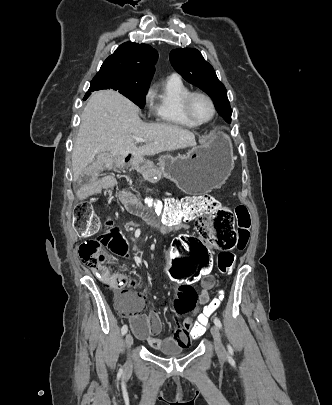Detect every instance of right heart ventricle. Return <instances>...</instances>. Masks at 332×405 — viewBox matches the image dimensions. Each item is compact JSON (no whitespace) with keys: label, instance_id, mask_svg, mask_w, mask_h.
<instances>
[{"label":"right heart ventricle","instance_id":"e07e8e85","mask_svg":"<svg viewBox=\"0 0 332 405\" xmlns=\"http://www.w3.org/2000/svg\"><path fill=\"white\" fill-rule=\"evenodd\" d=\"M189 92L187 86L176 77H170L151 92V113L156 121L194 128L182 111V99Z\"/></svg>","mask_w":332,"mask_h":405}]
</instances>
